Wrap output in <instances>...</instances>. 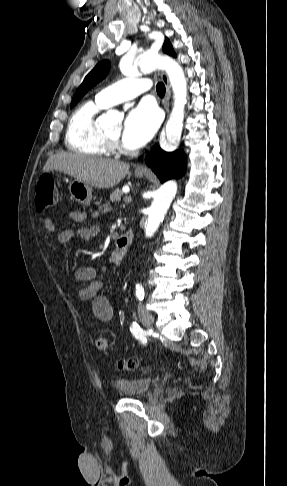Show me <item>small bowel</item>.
<instances>
[{
    "mask_svg": "<svg viewBox=\"0 0 287 486\" xmlns=\"http://www.w3.org/2000/svg\"><path fill=\"white\" fill-rule=\"evenodd\" d=\"M106 211H108V207H102L100 210L92 212L90 219H97L102 212ZM68 217L74 222L80 223L86 221L88 215L84 211L76 210L69 212ZM44 227L47 231L56 234L57 244L61 247H65L75 237L88 241L95 238L100 232L98 225L61 230L51 218L44 219ZM123 257L124 256H119L113 251L108 263L111 266H118L121 264ZM105 270L106 266H89L77 268L74 272L76 280L88 282L85 287L79 290V298L82 300H92L93 313L95 317L102 322H108L113 317V307L109 299L100 294L102 282L96 278L99 273H102Z\"/></svg>",
    "mask_w": 287,
    "mask_h": 486,
    "instance_id": "1",
    "label": "small bowel"
}]
</instances>
